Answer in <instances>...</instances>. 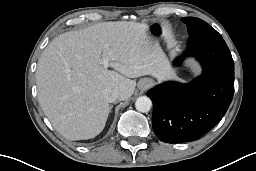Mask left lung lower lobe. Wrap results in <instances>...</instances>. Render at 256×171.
<instances>
[{
	"mask_svg": "<svg viewBox=\"0 0 256 171\" xmlns=\"http://www.w3.org/2000/svg\"><path fill=\"white\" fill-rule=\"evenodd\" d=\"M188 47L201 62L202 75L187 85L170 81L147 92L154 106L153 130L166 143L202 137L220 122L234 94V62L222 36H190Z\"/></svg>",
	"mask_w": 256,
	"mask_h": 171,
	"instance_id": "0a47b994",
	"label": "left lung lower lobe"
}]
</instances>
